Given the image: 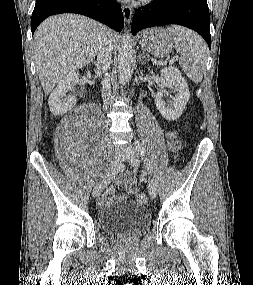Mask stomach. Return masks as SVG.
<instances>
[{
  "label": "stomach",
  "mask_w": 253,
  "mask_h": 285,
  "mask_svg": "<svg viewBox=\"0 0 253 285\" xmlns=\"http://www.w3.org/2000/svg\"><path fill=\"white\" fill-rule=\"evenodd\" d=\"M140 45L159 58L167 56L174 47L171 34L163 28L146 30L140 38Z\"/></svg>",
  "instance_id": "1"
}]
</instances>
